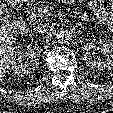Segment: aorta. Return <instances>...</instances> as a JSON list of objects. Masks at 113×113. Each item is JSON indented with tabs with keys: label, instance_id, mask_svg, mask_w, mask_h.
<instances>
[{
	"label": "aorta",
	"instance_id": "1",
	"mask_svg": "<svg viewBox=\"0 0 113 113\" xmlns=\"http://www.w3.org/2000/svg\"><path fill=\"white\" fill-rule=\"evenodd\" d=\"M73 32L68 28H61L56 33V39L59 43H68L70 40H72Z\"/></svg>",
	"mask_w": 113,
	"mask_h": 113
}]
</instances>
